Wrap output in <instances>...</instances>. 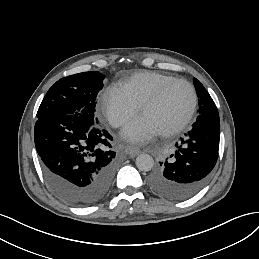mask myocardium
<instances>
[{"label": "myocardium", "instance_id": "obj_1", "mask_svg": "<svg viewBox=\"0 0 259 259\" xmlns=\"http://www.w3.org/2000/svg\"><path fill=\"white\" fill-rule=\"evenodd\" d=\"M176 82H182L185 85H187V87L190 89L191 92V96H192V100H191V105L188 109V111L186 112V114L180 119L178 120V122L170 129L158 133L159 136L161 137H171L176 135L177 133H179L193 118L197 106H198V95H197V91L195 86L188 81L187 79L184 78H180V77H172L166 81H164L163 83H161L155 93L149 97L148 99H146L142 104H141V109H140V114L143 113L144 111H146L147 109L155 106L156 104H158L160 102V100L162 99L164 93L166 92V90L174 83Z\"/></svg>", "mask_w": 259, "mask_h": 259}]
</instances>
